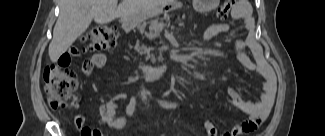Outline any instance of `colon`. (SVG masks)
<instances>
[{
    "instance_id": "5ec220e1",
    "label": "colon",
    "mask_w": 325,
    "mask_h": 136,
    "mask_svg": "<svg viewBox=\"0 0 325 136\" xmlns=\"http://www.w3.org/2000/svg\"><path fill=\"white\" fill-rule=\"evenodd\" d=\"M232 0L225 2L218 8L217 17L225 20L230 14ZM118 38V31L112 26H100L89 31L83 38L85 49L99 51L114 47ZM45 90L50 105L55 108H63L72 99L77 88V80L70 78L57 65H49L44 70ZM81 136H101L96 129L85 127Z\"/></svg>"
}]
</instances>
